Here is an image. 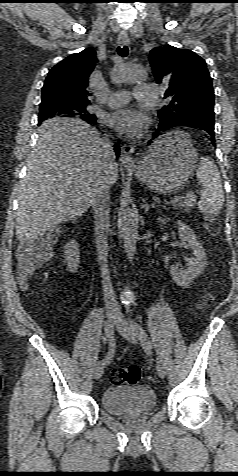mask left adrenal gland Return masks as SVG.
<instances>
[{
    "instance_id": "1",
    "label": "left adrenal gland",
    "mask_w": 238,
    "mask_h": 476,
    "mask_svg": "<svg viewBox=\"0 0 238 476\" xmlns=\"http://www.w3.org/2000/svg\"><path fill=\"white\" fill-rule=\"evenodd\" d=\"M159 205H157L156 203H151V204H148L146 202L143 203L142 207L145 211V213L148 212V210L151 208V207H158Z\"/></svg>"
}]
</instances>
